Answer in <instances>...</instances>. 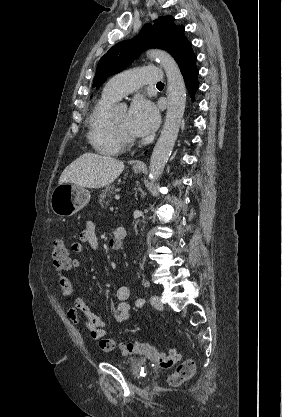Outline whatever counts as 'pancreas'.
<instances>
[{
  "label": "pancreas",
  "mask_w": 282,
  "mask_h": 417,
  "mask_svg": "<svg viewBox=\"0 0 282 417\" xmlns=\"http://www.w3.org/2000/svg\"><path fill=\"white\" fill-rule=\"evenodd\" d=\"M115 192H117V190L115 188V184H110V186H106V188H104V190H102V192L99 196L98 202H100V204H103L104 198H106L107 194L109 196V194H115ZM107 202H108V200H107Z\"/></svg>",
  "instance_id": "obj_1"
}]
</instances>
